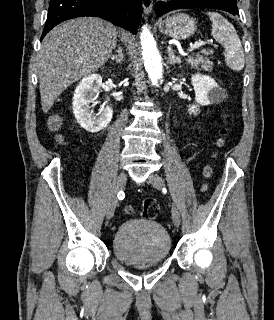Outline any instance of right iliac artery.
Segmentation results:
<instances>
[{
	"instance_id": "obj_1",
	"label": "right iliac artery",
	"mask_w": 274,
	"mask_h": 320,
	"mask_svg": "<svg viewBox=\"0 0 274 320\" xmlns=\"http://www.w3.org/2000/svg\"><path fill=\"white\" fill-rule=\"evenodd\" d=\"M124 197H125V194H124V192H123V191L118 192V194H117V198H118L119 200L124 199Z\"/></svg>"
}]
</instances>
